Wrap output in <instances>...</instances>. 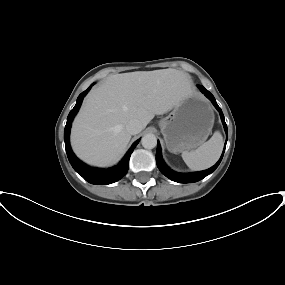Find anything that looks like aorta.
<instances>
[{"label":"aorta","instance_id":"762f6f07","mask_svg":"<svg viewBox=\"0 0 285 285\" xmlns=\"http://www.w3.org/2000/svg\"><path fill=\"white\" fill-rule=\"evenodd\" d=\"M141 143L145 149H153L157 145V138L154 134H146L142 137Z\"/></svg>","mask_w":285,"mask_h":285}]
</instances>
